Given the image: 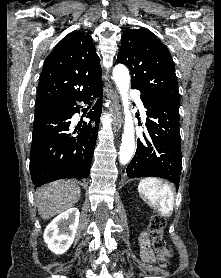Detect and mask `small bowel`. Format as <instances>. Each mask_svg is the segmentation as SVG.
<instances>
[{"label": "small bowel", "mask_w": 221, "mask_h": 278, "mask_svg": "<svg viewBox=\"0 0 221 278\" xmlns=\"http://www.w3.org/2000/svg\"><path fill=\"white\" fill-rule=\"evenodd\" d=\"M141 254L147 262H154L155 256L150 251V240L146 232L140 236Z\"/></svg>", "instance_id": "obj_1"}]
</instances>
